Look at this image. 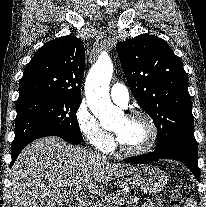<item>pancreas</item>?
<instances>
[{
	"label": "pancreas",
	"instance_id": "obj_1",
	"mask_svg": "<svg viewBox=\"0 0 206 207\" xmlns=\"http://www.w3.org/2000/svg\"><path fill=\"white\" fill-rule=\"evenodd\" d=\"M124 204H126V207H136L134 202H125L123 193L121 191H117L98 201L92 207H121Z\"/></svg>",
	"mask_w": 206,
	"mask_h": 207
}]
</instances>
